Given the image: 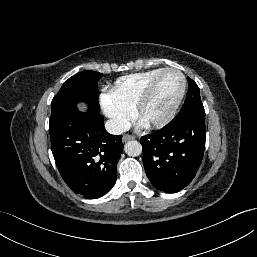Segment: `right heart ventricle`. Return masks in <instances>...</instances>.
Here are the masks:
<instances>
[{
  "mask_svg": "<svg viewBox=\"0 0 257 257\" xmlns=\"http://www.w3.org/2000/svg\"><path fill=\"white\" fill-rule=\"evenodd\" d=\"M164 69L156 68L120 77L108 94L118 104L133 109L150 82Z\"/></svg>",
  "mask_w": 257,
  "mask_h": 257,
  "instance_id": "e07e8e85",
  "label": "right heart ventricle"
}]
</instances>
